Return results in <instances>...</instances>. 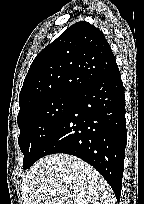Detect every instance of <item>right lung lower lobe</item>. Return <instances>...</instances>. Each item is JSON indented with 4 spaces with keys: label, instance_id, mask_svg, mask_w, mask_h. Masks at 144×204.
<instances>
[{
    "label": "right lung lower lobe",
    "instance_id": "1",
    "mask_svg": "<svg viewBox=\"0 0 144 204\" xmlns=\"http://www.w3.org/2000/svg\"><path fill=\"white\" fill-rule=\"evenodd\" d=\"M126 141L124 88L116 67L76 94L40 158L54 153L81 158L106 179L119 201Z\"/></svg>",
    "mask_w": 144,
    "mask_h": 204
}]
</instances>
